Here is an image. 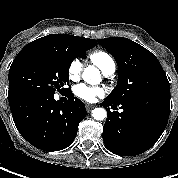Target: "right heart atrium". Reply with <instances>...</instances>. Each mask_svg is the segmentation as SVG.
<instances>
[{
	"label": "right heart atrium",
	"mask_w": 178,
	"mask_h": 178,
	"mask_svg": "<svg viewBox=\"0 0 178 178\" xmlns=\"http://www.w3.org/2000/svg\"><path fill=\"white\" fill-rule=\"evenodd\" d=\"M81 70L82 63L78 59L73 60L68 67L69 78L73 81L77 80L80 76Z\"/></svg>",
	"instance_id": "d8ad5b80"
}]
</instances>
